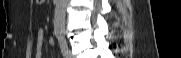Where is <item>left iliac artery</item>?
Returning a JSON list of instances; mask_svg holds the SVG:
<instances>
[{"label":"left iliac artery","mask_w":181,"mask_h":58,"mask_svg":"<svg viewBox=\"0 0 181 58\" xmlns=\"http://www.w3.org/2000/svg\"><path fill=\"white\" fill-rule=\"evenodd\" d=\"M58 40L63 56L67 57L69 55V49L64 34H59Z\"/></svg>","instance_id":"obj_1"}]
</instances>
